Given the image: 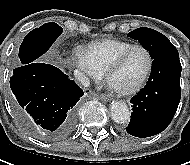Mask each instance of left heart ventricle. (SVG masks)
Wrapping results in <instances>:
<instances>
[{
  "instance_id": "1",
  "label": "left heart ventricle",
  "mask_w": 190,
  "mask_h": 165,
  "mask_svg": "<svg viewBox=\"0 0 190 165\" xmlns=\"http://www.w3.org/2000/svg\"><path fill=\"white\" fill-rule=\"evenodd\" d=\"M148 66L147 54L141 49L128 53L113 74L111 83L118 88H129L143 77Z\"/></svg>"
}]
</instances>
